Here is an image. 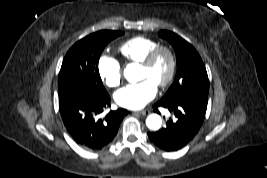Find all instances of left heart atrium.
<instances>
[{
  "mask_svg": "<svg viewBox=\"0 0 267 178\" xmlns=\"http://www.w3.org/2000/svg\"><path fill=\"white\" fill-rule=\"evenodd\" d=\"M157 94V85L150 79L127 85L118 90L114 99L116 103L128 109H140L148 104Z\"/></svg>",
  "mask_w": 267,
  "mask_h": 178,
  "instance_id": "1",
  "label": "left heart atrium"
}]
</instances>
